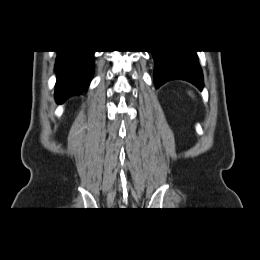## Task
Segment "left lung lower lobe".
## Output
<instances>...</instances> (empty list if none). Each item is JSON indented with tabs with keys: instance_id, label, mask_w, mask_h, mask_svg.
Returning a JSON list of instances; mask_svg holds the SVG:
<instances>
[{
	"instance_id": "1",
	"label": "left lung lower lobe",
	"mask_w": 260,
	"mask_h": 260,
	"mask_svg": "<svg viewBox=\"0 0 260 260\" xmlns=\"http://www.w3.org/2000/svg\"><path fill=\"white\" fill-rule=\"evenodd\" d=\"M155 60L154 82L156 88L170 80H185L200 90L203 74L195 50L151 51Z\"/></svg>"
}]
</instances>
